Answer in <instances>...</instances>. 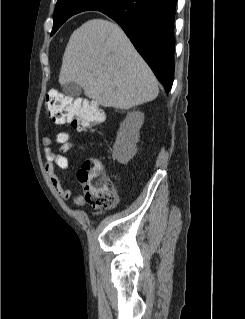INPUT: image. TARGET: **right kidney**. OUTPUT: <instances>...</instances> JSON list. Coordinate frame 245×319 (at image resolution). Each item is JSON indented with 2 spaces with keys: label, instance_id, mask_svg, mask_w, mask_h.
I'll use <instances>...</instances> for the list:
<instances>
[{
  "label": "right kidney",
  "instance_id": "right-kidney-1",
  "mask_svg": "<svg viewBox=\"0 0 245 319\" xmlns=\"http://www.w3.org/2000/svg\"><path fill=\"white\" fill-rule=\"evenodd\" d=\"M144 122V114L133 111L127 114L121 123L113 145V157L121 164H127L137 152L136 144L139 141V131Z\"/></svg>",
  "mask_w": 245,
  "mask_h": 319
}]
</instances>
